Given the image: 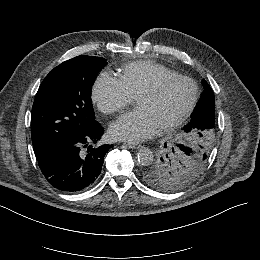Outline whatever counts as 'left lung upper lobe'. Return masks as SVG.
<instances>
[{"mask_svg": "<svg viewBox=\"0 0 260 260\" xmlns=\"http://www.w3.org/2000/svg\"><path fill=\"white\" fill-rule=\"evenodd\" d=\"M203 99L215 101L213 91L204 80ZM216 127L201 131L189 125L179 134L175 142L165 143L159 154L141 172L143 180L150 186L166 192L180 190L201 174L208 163L214 145Z\"/></svg>", "mask_w": 260, "mask_h": 260, "instance_id": "left-lung-upper-lobe-1", "label": "left lung upper lobe"}]
</instances>
